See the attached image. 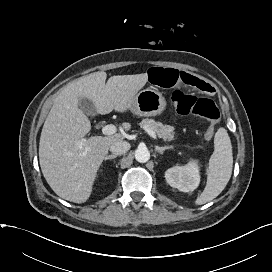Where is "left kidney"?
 <instances>
[{
  "label": "left kidney",
  "instance_id": "obj_1",
  "mask_svg": "<svg viewBox=\"0 0 272 272\" xmlns=\"http://www.w3.org/2000/svg\"><path fill=\"white\" fill-rule=\"evenodd\" d=\"M165 178L171 187L182 192L194 191L200 182L198 161L192 160L184 166H174L168 169Z\"/></svg>",
  "mask_w": 272,
  "mask_h": 272
}]
</instances>
